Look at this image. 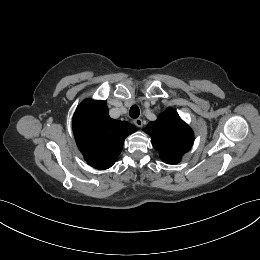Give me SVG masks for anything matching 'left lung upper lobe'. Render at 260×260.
<instances>
[{"instance_id": "left-lung-upper-lobe-1", "label": "left lung upper lobe", "mask_w": 260, "mask_h": 260, "mask_svg": "<svg viewBox=\"0 0 260 260\" xmlns=\"http://www.w3.org/2000/svg\"><path fill=\"white\" fill-rule=\"evenodd\" d=\"M144 131L151 136L152 145L159 152L161 160L167 164L180 162L194 142L192 129L173 108H167Z\"/></svg>"}]
</instances>
